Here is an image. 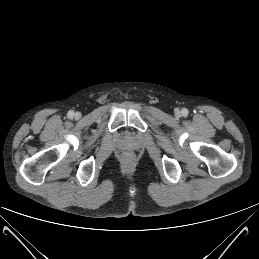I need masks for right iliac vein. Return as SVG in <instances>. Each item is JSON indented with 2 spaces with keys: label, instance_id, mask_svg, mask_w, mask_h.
<instances>
[{
  "label": "right iliac vein",
  "instance_id": "63e3f726",
  "mask_svg": "<svg viewBox=\"0 0 259 259\" xmlns=\"http://www.w3.org/2000/svg\"><path fill=\"white\" fill-rule=\"evenodd\" d=\"M75 117H76V118H79V117H80V113L77 112V113L75 114Z\"/></svg>",
  "mask_w": 259,
  "mask_h": 259
}]
</instances>
